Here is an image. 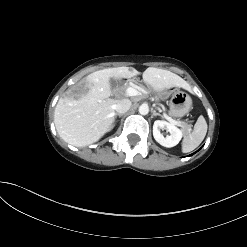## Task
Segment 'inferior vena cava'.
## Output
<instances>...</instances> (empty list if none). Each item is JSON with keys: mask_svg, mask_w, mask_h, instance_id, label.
Returning <instances> with one entry per match:
<instances>
[{"mask_svg": "<svg viewBox=\"0 0 247 247\" xmlns=\"http://www.w3.org/2000/svg\"><path fill=\"white\" fill-rule=\"evenodd\" d=\"M131 107V101L129 99L119 100L115 105V110L118 114L126 113Z\"/></svg>", "mask_w": 247, "mask_h": 247, "instance_id": "602c4592", "label": "inferior vena cava"}]
</instances>
